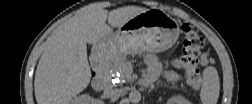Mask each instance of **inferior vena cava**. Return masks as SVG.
I'll list each match as a JSON object with an SVG mask.
<instances>
[{"instance_id": "inferior-vena-cava-1", "label": "inferior vena cava", "mask_w": 252, "mask_h": 104, "mask_svg": "<svg viewBox=\"0 0 252 104\" xmlns=\"http://www.w3.org/2000/svg\"><path fill=\"white\" fill-rule=\"evenodd\" d=\"M121 94V90L119 89H112L107 91V96L113 99H117Z\"/></svg>"}]
</instances>
